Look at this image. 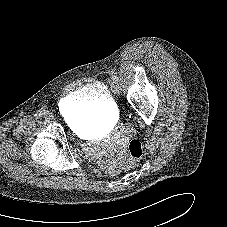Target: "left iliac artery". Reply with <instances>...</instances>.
I'll return each mask as SVG.
<instances>
[{"mask_svg":"<svg viewBox=\"0 0 227 227\" xmlns=\"http://www.w3.org/2000/svg\"><path fill=\"white\" fill-rule=\"evenodd\" d=\"M112 79H113L114 82H118L119 81V79H118V77L116 75H113Z\"/></svg>","mask_w":227,"mask_h":227,"instance_id":"44dca946","label":"left iliac artery"}]
</instances>
